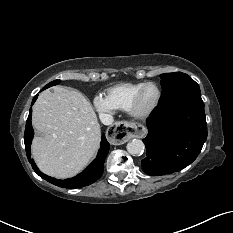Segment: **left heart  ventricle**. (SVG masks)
Instances as JSON below:
<instances>
[{
  "label": "left heart ventricle",
  "mask_w": 233,
  "mask_h": 233,
  "mask_svg": "<svg viewBox=\"0 0 233 233\" xmlns=\"http://www.w3.org/2000/svg\"><path fill=\"white\" fill-rule=\"evenodd\" d=\"M157 98V90L154 86H148L144 89L140 106L142 109L150 107Z\"/></svg>",
  "instance_id": "1"
}]
</instances>
